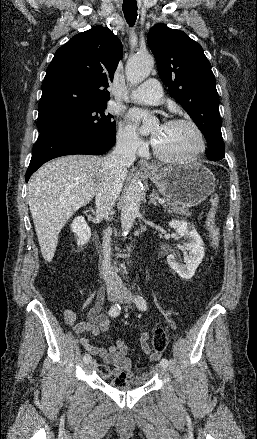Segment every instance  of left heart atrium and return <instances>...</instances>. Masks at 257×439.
Listing matches in <instances>:
<instances>
[{
	"label": "left heart atrium",
	"instance_id": "1",
	"mask_svg": "<svg viewBox=\"0 0 257 439\" xmlns=\"http://www.w3.org/2000/svg\"><path fill=\"white\" fill-rule=\"evenodd\" d=\"M145 117V113L140 110H133L130 113V119L134 122H139Z\"/></svg>",
	"mask_w": 257,
	"mask_h": 439
}]
</instances>
